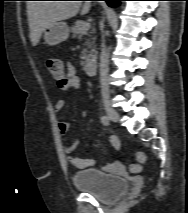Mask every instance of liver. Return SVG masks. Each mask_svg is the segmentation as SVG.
<instances>
[{"mask_svg":"<svg viewBox=\"0 0 188 213\" xmlns=\"http://www.w3.org/2000/svg\"><path fill=\"white\" fill-rule=\"evenodd\" d=\"M80 1H31L27 3V17L30 28V40L36 46L43 31L53 23L74 17L80 10ZM91 4L82 6L81 14L89 12Z\"/></svg>","mask_w":188,"mask_h":213,"instance_id":"obj_1","label":"liver"}]
</instances>
